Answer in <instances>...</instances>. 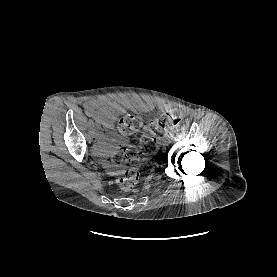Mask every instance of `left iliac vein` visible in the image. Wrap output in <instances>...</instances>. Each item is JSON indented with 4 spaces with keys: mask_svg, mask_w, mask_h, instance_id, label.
I'll list each match as a JSON object with an SVG mask.
<instances>
[{
    "mask_svg": "<svg viewBox=\"0 0 277 277\" xmlns=\"http://www.w3.org/2000/svg\"><path fill=\"white\" fill-rule=\"evenodd\" d=\"M173 138H174V136H167V137L164 139V142H165L166 144H169V143L172 141Z\"/></svg>",
    "mask_w": 277,
    "mask_h": 277,
    "instance_id": "obj_1",
    "label": "left iliac vein"
}]
</instances>
